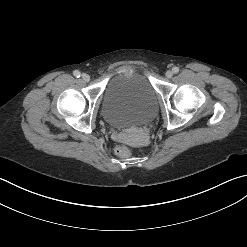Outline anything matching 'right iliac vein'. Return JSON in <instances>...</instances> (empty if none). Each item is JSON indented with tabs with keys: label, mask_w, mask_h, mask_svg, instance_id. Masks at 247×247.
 Segmentation results:
<instances>
[{
	"label": "right iliac vein",
	"mask_w": 247,
	"mask_h": 247,
	"mask_svg": "<svg viewBox=\"0 0 247 247\" xmlns=\"http://www.w3.org/2000/svg\"><path fill=\"white\" fill-rule=\"evenodd\" d=\"M81 77L85 82H89L90 81V76L88 74H86V73H83Z\"/></svg>",
	"instance_id": "right-iliac-vein-1"
}]
</instances>
